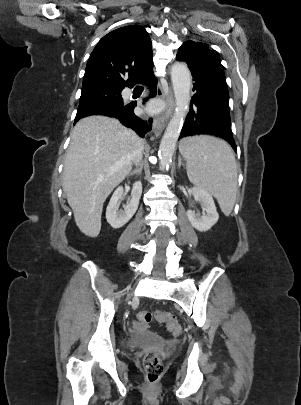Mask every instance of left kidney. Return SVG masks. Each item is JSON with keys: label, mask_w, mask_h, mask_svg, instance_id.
Instances as JSON below:
<instances>
[{"label": "left kidney", "mask_w": 301, "mask_h": 405, "mask_svg": "<svg viewBox=\"0 0 301 405\" xmlns=\"http://www.w3.org/2000/svg\"><path fill=\"white\" fill-rule=\"evenodd\" d=\"M192 194L202 205L203 215L188 210L187 217L191 225L200 232L208 231L218 221L219 215L211 194L200 187H193Z\"/></svg>", "instance_id": "left-kidney-1"}]
</instances>
